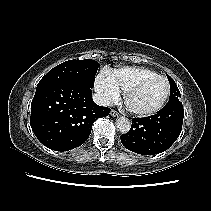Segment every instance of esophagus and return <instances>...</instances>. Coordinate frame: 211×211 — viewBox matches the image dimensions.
<instances>
[{
	"label": "esophagus",
	"instance_id": "esophagus-1",
	"mask_svg": "<svg viewBox=\"0 0 211 211\" xmlns=\"http://www.w3.org/2000/svg\"><path fill=\"white\" fill-rule=\"evenodd\" d=\"M110 115H111L112 117H118V116H119V113H118L117 111H115V110H111V111H110Z\"/></svg>",
	"mask_w": 211,
	"mask_h": 211
}]
</instances>
